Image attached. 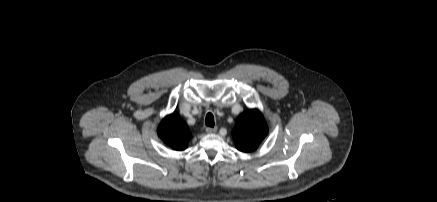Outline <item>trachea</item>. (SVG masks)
I'll return each instance as SVG.
<instances>
[{
	"instance_id": "trachea-1",
	"label": "trachea",
	"mask_w": 437,
	"mask_h": 202,
	"mask_svg": "<svg viewBox=\"0 0 437 202\" xmlns=\"http://www.w3.org/2000/svg\"><path fill=\"white\" fill-rule=\"evenodd\" d=\"M205 124H206V126H208V127H214V116H213V114L212 113H208L207 115H206V119H205Z\"/></svg>"
}]
</instances>
